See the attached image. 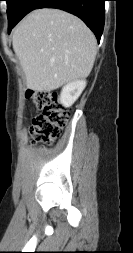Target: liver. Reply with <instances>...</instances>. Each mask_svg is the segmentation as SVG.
<instances>
[{"label": "liver", "mask_w": 133, "mask_h": 253, "mask_svg": "<svg viewBox=\"0 0 133 253\" xmlns=\"http://www.w3.org/2000/svg\"><path fill=\"white\" fill-rule=\"evenodd\" d=\"M12 45L27 88L52 91L86 78L94 65L97 41L76 16L58 9H38L15 27Z\"/></svg>", "instance_id": "1"}]
</instances>
